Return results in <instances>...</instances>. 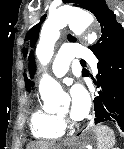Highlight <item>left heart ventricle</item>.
<instances>
[{
    "mask_svg": "<svg viewBox=\"0 0 124 149\" xmlns=\"http://www.w3.org/2000/svg\"><path fill=\"white\" fill-rule=\"evenodd\" d=\"M69 111H70L69 105H66L64 110L61 112V115L68 116Z\"/></svg>",
    "mask_w": 124,
    "mask_h": 149,
    "instance_id": "left-heart-ventricle-1",
    "label": "left heart ventricle"
}]
</instances>
